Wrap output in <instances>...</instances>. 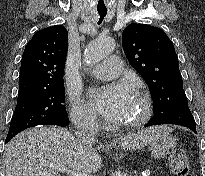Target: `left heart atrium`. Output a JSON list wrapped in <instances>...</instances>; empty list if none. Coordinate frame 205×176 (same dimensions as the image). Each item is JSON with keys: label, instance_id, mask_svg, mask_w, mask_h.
<instances>
[{"label": "left heart atrium", "instance_id": "obj_1", "mask_svg": "<svg viewBox=\"0 0 205 176\" xmlns=\"http://www.w3.org/2000/svg\"><path fill=\"white\" fill-rule=\"evenodd\" d=\"M134 97L130 84H111L90 93L93 106L106 118L119 120Z\"/></svg>", "mask_w": 205, "mask_h": 176}]
</instances>
